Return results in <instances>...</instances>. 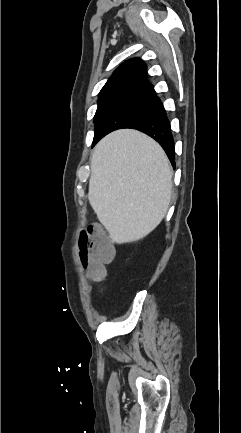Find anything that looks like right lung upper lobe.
<instances>
[{"instance_id": "1", "label": "right lung upper lobe", "mask_w": 241, "mask_h": 433, "mask_svg": "<svg viewBox=\"0 0 241 433\" xmlns=\"http://www.w3.org/2000/svg\"><path fill=\"white\" fill-rule=\"evenodd\" d=\"M153 85L147 81V67L139 58L121 64L108 79L99 93V100L124 95L155 94Z\"/></svg>"}]
</instances>
